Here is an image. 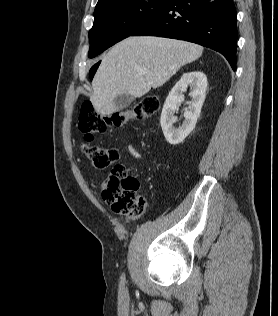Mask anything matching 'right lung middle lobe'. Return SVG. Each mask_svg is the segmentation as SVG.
Returning a JSON list of instances; mask_svg holds the SVG:
<instances>
[{"mask_svg":"<svg viewBox=\"0 0 278 316\" xmlns=\"http://www.w3.org/2000/svg\"><path fill=\"white\" fill-rule=\"evenodd\" d=\"M165 0H106L96 5L94 24L89 31L90 58L131 36L146 24ZM96 68L90 70L92 79Z\"/></svg>","mask_w":278,"mask_h":316,"instance_id":"obj_1","label":"right lung middle lobe"}]
</instances>
